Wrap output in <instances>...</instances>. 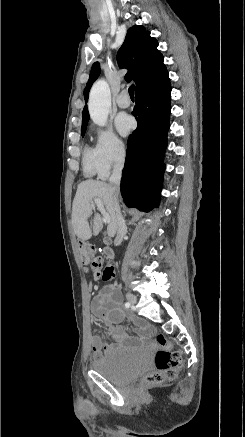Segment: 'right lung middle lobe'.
<instances>
[{
    "mask_svg": "<svg viewBox=\"0 0 245 437\" xmlns=\"http://www.w3.org/2000/svg\"><path fill=\"white\" fill-rule=\"evenodd\" d=\"M85 130H86V126H82V129H81L82 136H84Z\"/></svg>",
    "mask_w": 245,
    "mask_h": 437,
    "instance_id": "right-lung-middle-lobe-1",
    "label": "right lung middle lobe"
}]
</instances>
